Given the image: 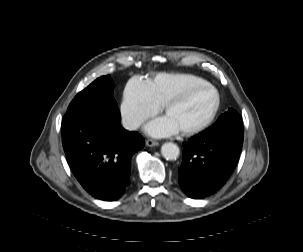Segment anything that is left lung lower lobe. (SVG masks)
<instances>
[{
	"mask_svg": "<svg viewBox=\"0 0 303 252\" xmlns=\"http://www.w3.org/2000/svg\"><path fill=\"white\" fill-rule=\"evenodd\" d=\"M242 144L243 135L203 132L184 142L178 181L185 194L199 199L219 190L232 174Z\"/></svg>",
	"mask_w": 303,
	"mask_h": 252,
	"instance_id": "left-lung-lower-lobe-1",
	"label": "left lung lower lobe"
}]
</instances>
